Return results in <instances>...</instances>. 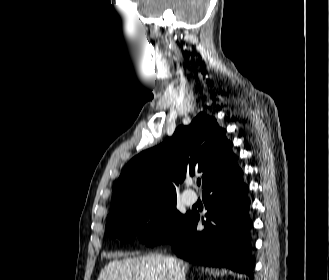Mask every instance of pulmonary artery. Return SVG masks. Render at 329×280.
<instances>
[{
    "label": "pulmonary artery",
    "mask_w": 329,
    "mask_h": 280,
    "mask_svg": "<svg viewBox=\"0 0 329 280\" xmlns=\"http://www.w3.org/2000/svg\"><path fill=\"white\" fill-rule=\"evenodd\" d=\"M186 204L193 205L197 201V194L192 190H186L183 194Z\"/></svg>",
    "instance_id": "e3ab8cb5"
}]
</instances>
